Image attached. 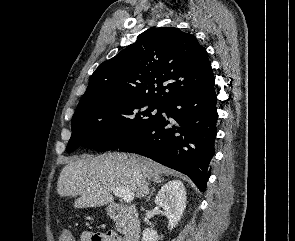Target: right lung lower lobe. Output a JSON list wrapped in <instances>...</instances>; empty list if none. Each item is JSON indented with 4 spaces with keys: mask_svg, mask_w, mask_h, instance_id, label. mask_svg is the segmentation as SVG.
I'll use <instances>...</instances> for the list:
<instances>
[{
    "mask_svg": "<svg viewBox=\"0 0 295 241\" xmlns=\"http://www.w3.org/2000/svg\"><path fill=\"white\" fill-rule=\"evenodd\" d=\"M214 85L213 81L168 100L154 121L118 149L144 155L186 174L204 192L218 119Z\"/></svg>",
    "mask_w": 295,
    "mask_h": 241,
    "instance_id": "obj_1",
    "label": "right lung lower lobe"
}]
</instances>
